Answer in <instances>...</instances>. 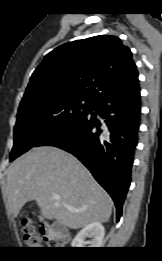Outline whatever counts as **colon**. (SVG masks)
Returning <instances> with one entry per match:
<instances>
[{
  "instance_id": "1",
  "label": "colon",
  "mask_w": 162,
  "mask_h": 261,
  "mask_svg": "<svg viewBox=\"0 0 162 261\" xmlns=\"http://www.w3.org/2000/svg\"><path fill=\"white\" fill-rule=\"evenodd\" d=\"M22 224L24 241L28 247L38 248L44 243L59 248L66 244L62 230L52 223L42 226L39 231L32 225L30 218H24Z\"/></svg>"
}]
</instances>
